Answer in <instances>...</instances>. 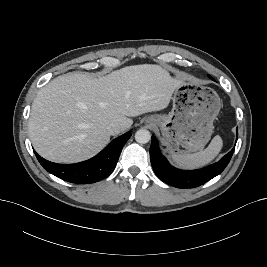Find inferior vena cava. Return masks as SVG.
<instances>
[{
	"label": "inferior vena cava",
	"instance_id": "602c4592",
	"mask_svg": "<svg viewBox=\"0 0 267 267\" xmlns=\"http://www.w3.org/2000/svg\"><path fill=\"white\" fill-rule=\"evenodd\" d=\"M122 130V125L117 122H113L107 125V131L110 133V135L119 134Z\"/></svg>",
	"mask_w": 267,
	"mask_h": 267
}]
</instances>
